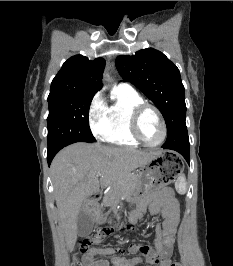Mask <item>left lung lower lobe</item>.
<instances>
[{
	"label": "left lung lower lobe",
	"instance_id": "1",
	"mask_svg": "<svg viewBox=\"0 0 233 266\" xmlns=\"http://www.w3.org/2000/svg\"><path fill=\"white\" fill-rule=\"evenodd\" d=\"M163 148L179 152L186 159L188 164H190V147L186 125L181 126L176 132L169 135L163 145Z\"/></svg>",
	"mask_w": 233,
	"mask_h": 266
}]
</instances>
